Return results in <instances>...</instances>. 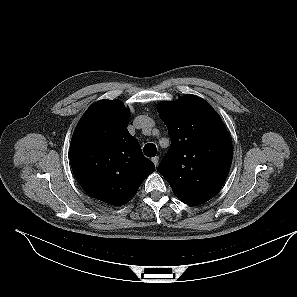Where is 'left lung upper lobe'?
I'll list each match as a JSON object with an SVG mask.
<instances>
[{
    "label": "left lung upper lobe",
    "mask_w": 297,
    "mask_h": 297,
    "mask_svg": "<svg viewBox=\"0 0 297 297\" xmlns=\"http://www.w3.org/2000/svg\"><path fill=\"white\" fill-rule=\"evenodd\" d=\"M157 111L171 139L159 173L183 203H205L219 192L232 163V142L224 123L195 95L161 102Z\"/></svg>",
    "instance_id": "obj_1"
}]
</instances>
